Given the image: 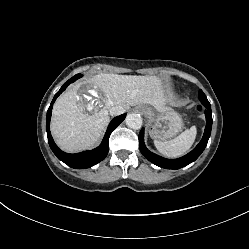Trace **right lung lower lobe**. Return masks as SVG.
<instances>
[{
	"mask_svg": "<svg viewBox=\"0 0 249 249\" xmlns=\"http://www.w3.org/2000/svg\"><path fill=\"white\" fill-rule=\"evenodd\" d=\"M82 75L77 74L71 79H69L64 85L60 88V90L55 94L50 107L47 111V122H46V130H47V136H48V142L50 145V148L54 152V154L65 164L68 166L75 168V169H85L92 167L93 165H96L100 161H102L108 154L109 151V137L112 131L125 119L126 114L120 115L115 117L109 124L107 131L105 133V136L103 138V141L101 145L93 150L90 151H84L77 154H68L60 150L57 145L54 143L53 138L50 133V119H51V112L53 103L55 102L56 98L66 89V87L76 81L78 78H80Z\"/></svg>",
	"mask_w": 249,
	"mask_h": 249,
	"instance_id": "1",
	"label": "right lung lower lobe"
}]
</instances>
